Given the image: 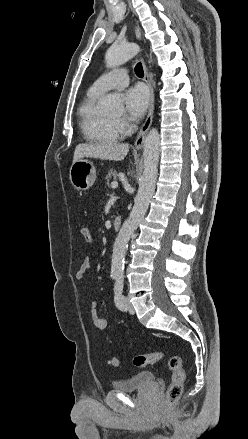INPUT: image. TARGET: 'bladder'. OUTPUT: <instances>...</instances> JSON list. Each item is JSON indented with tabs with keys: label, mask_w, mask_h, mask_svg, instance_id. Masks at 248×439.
Masks as SVG:
<instances>
[{
	"label": "bladder",
	"mask_w": 248,
	"mask_h": 439,
	"mask_svg": "<svg viewBox=\"0 0 248 439\" xmlns=\"http://www.w3.org/2000/svg\"><path fill=\"white\" fill-rule=\"evenodd\" d=\"M154 383V375L151 371H140L129 378L113 381L112 388L115 391L128 393L142 390Z\"/></svg>",
	"instance_id": "31cf9c89"
}]
</instances>
